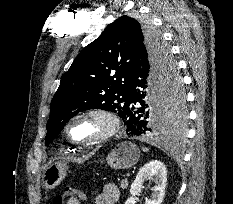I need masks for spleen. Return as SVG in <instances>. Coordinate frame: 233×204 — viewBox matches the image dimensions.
<instances>
[{
	"mask_svg": "<svg viewBox=\"0 0 233 204\" xmlns=\"http://www.w3.org/2000/svg\"><path fill=\"white\" fill-rule=\"evenodd\" d=\"M142 149H143V151H145V152H147V151L149 150V149L146 148V147H143Z\"/></svg>",
	"mask_w": 233,
	"mask_h": 204,
	"instance_id": "spleen-1",
	"label": "spleen"
}]
</instances>
